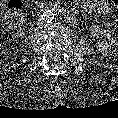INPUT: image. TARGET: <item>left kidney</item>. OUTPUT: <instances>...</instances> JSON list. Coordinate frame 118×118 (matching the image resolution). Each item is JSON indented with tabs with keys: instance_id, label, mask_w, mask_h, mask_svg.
I'll return each mask as SVG.
<instances>
[{
	"instance_id": "obj_1",
	"label": "left kidney",
	"mask_w": 118,
	"mask_h": 118,
	"mask_svg": "<svg viewBox=\"0 0 118 118\" xmlns=\"http://www.w3.org/2000/svg\"><path fill=\"white\" fill-rule=\"evenodd\" d=\"M97 48L100 52H102L103 54H109L110 53V46L107 42L104 41H100L97 43Z\"/></svg>"
}]
</instances>
